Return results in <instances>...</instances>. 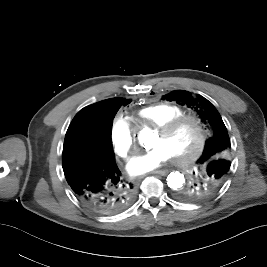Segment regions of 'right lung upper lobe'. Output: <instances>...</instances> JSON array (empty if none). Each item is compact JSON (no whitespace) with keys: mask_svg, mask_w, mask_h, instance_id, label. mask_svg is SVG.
<instances>
[{"mask_svg":"<svg viewBox=\"0 0 267 267\" xmlns=\"http://www.w3.org/2000/svg\"><path fill=\"white\" fill-rule=\"evenodd\" d=\"M129 100L124 98H111L89 105L80 110L72 120V125L86 121L94 125H99L102 134L109 132V128L105 125L104 114L108 106L112 104H127Z\"/></svg>","mask_w":267,"mask_h":267,"instance_id":"right-lung-upper-lobe-1","label":"right lung upper lobe"}]
</instances>
